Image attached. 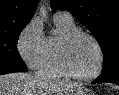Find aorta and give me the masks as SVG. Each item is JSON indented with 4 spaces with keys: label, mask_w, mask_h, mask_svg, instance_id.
<instances>
[{
    "label": "aorta",
    "mask_w": 119,
    "mask_h": 95,
    "mask_svg": "<svg viewBox=\"0 0 119 95\" xmlns=\"http://www.w3.org/2000/svg\"><path fill=\"white\" fill-rule=\"evenodd\" d=\"M39 14H40L41 16H43V17H46L47 11H46L45 6H41V7L39 8Z\"/></svg>",
    "instance_id": "762f6f07"
}]
</instances>
